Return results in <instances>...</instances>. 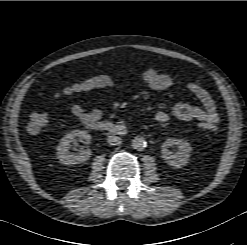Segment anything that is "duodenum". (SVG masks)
Instances as JSON below:
<instances>
[{
	"label": "duodenum",
	"instance_id": "obj_1",
	"mask_svg": "<svg viewBox=\"0 0 247 245\" xmlns=\"http://www.w3.org/2000/svg\"><path fill=\"white\" fill-rule=\"evenodd\" d=\"M90 129L108 132L116 136H124L126 128L122 124H114L112 122H93L88 125Z\"/></svg>",
	"mask_w": 247,
	"mask_h": 245
}]
</instances>
